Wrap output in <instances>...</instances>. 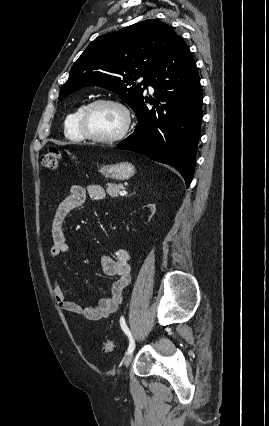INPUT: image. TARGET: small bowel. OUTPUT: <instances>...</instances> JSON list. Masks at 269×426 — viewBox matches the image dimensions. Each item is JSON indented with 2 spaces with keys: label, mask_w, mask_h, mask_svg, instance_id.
Returning a JSON list of instances; mask_svg holds the SVG:
<instances>
[{
  "label": "small bowel",
  "mask_w": 269,
  "mask_h": 426,
  "mask_svg": "<svg viewBox=\"0 0 269 426\" xmlns=\"http://www.w3.org/2000/svg\"><path fill=\"white\" fill-rule=\"evenodd\" d=\"M89 196L94 200L105 198V190L100 185H73L69 195L59 204L51 227L53 244L50 254L59 258L69 250L64 230V224L70 214L80 207ZM103 273L113 278L111 294L100 298L94 305H82L66 297L63 284L53 280V291L56 303L60 310L89 320H101L117 312L123 301V291L131 280L130 255L126 249H117L113 256L103 255L101 258Z\"/></svg>",
  "instance_id": "c3829d8e"
}]
</instances>
